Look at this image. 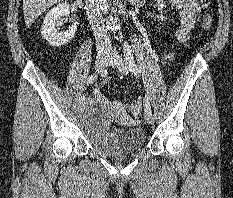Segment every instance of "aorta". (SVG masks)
<instances>
[{"label": "aorta", "instance_id": "1", "mask_svg": "<svg viewBox=\"0 0 233 198\" xmlns=\"http://www.w3.org/2000/svg\"><path fill=\"white\" fill-rule=\"evenodd\" d=\"M108 0H101V3H102V11L103 12H107L108 11V3H107Z\"/></svg>", "mask_w": 233, "mask_h": 198}]
</instances>
